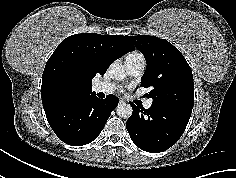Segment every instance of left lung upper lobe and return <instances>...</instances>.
<instances>
[{"instance_id":"5c2ea615","label":"left lung upper lobe","mask_w":236,"mask_h":178,"mask_svg":"<svg viewBox=\"0 0 236 178\" xmlns=\"http://www.w3.org/2000/svg\"><path fill=\"white\" fill-rule=\"evenodd\" d=\"M127 38L147 61L142 86L151 89L147 95L153 99V104L191 113L194 82L191 68L181 52L158 37L139 35Z\"/></svg>"}]
</instances>
